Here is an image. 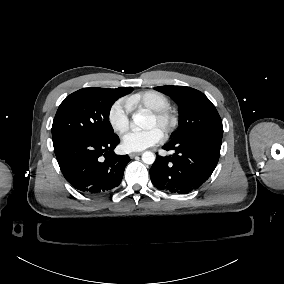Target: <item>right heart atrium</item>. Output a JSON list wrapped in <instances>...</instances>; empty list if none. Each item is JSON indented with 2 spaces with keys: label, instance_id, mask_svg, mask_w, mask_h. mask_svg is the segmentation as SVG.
<instances>
[{
  "label": "right heart atrium",
  "instance_id": "right-heart-atrium-1",
  "mask_svg": "<svg viewBox=\"0 0 284 284\" xmlns=\"http://www.w3.org/2000/svg\"><path fill=\"white\" fill-rule=\"evenodd\" d=\"M133 101L131 98L122 97L110 106L108 111V123L113 131L120 133L129 126V115Z\"/></svg>",
  "mask_w": 284,
  "mask_h": 284
}]
</instances>
